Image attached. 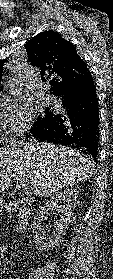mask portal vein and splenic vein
I'll use <instances>...</instances> for the list:
<instances>
[{"instance_id": "portal-vein-and-splenic-vein-1", "label": "portal vein and splenic vein", "mask_w": 113, "mask_h": 279, "mask_svg": "<svg viewBox=\"0 0 113 279\" xmlns=\"http://www.w3.org/2000/svg\"><path fill=\"white\" fill-rule=\"evenodd\" d=\"M11 177H16L20 186H22L23 188H27L29 187V181L25 178H22L20 176H18V174H16V172H9Z\"/></svg>"}]
</instances>
